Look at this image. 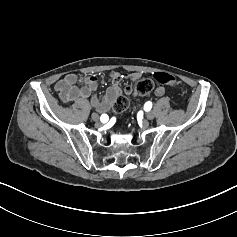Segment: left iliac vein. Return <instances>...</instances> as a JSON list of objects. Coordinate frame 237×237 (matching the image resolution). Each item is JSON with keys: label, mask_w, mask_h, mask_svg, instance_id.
<instances>
[{"label": "left iliac vein", "mask_w": 237, "mask_h": 237, "mask_svg": "<svg viewBox=\"0 0 237 237\" xmlns=\"http://www.w3.org/2000/svg\"><path fill=\"white\" fill-rule=\"evenodd\" d=\"M146 119H147L148 121L153 120V119H154V114H153V112H147V113H146Z\"/></svg>", "instance_id": "1"}]
</instances>
